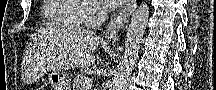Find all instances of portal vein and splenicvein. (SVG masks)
Here are the masks:
<instances>
[{
	"label": "portal vein and splenic vein",
	"mask_w": 216,
	"mask_h": 90,
	"mask_svg": "<svg viewBox=\"0 0 216 90\" xmlns=\"http://www.w3.org/2000/svg\"><path fill=\"white\" fill-rule=\"evenodd\" d=\"M91 84V80L89 78H84L83 84H81V90H89Z\"/></svg>",
	"instance_id": "18ae733b"
}]
</instances>
